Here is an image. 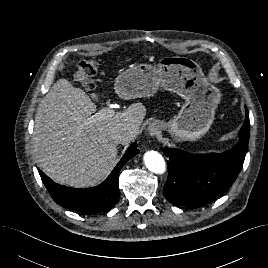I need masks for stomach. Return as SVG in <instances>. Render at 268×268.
<instances>
[{"mask_svg": "<svg viewBox=\"0 0 268 268\" xmlns=\"http://www.w3.org/2000/svg\"><path fill=\"white\" fill-rule=\"evenodd\" d=\"M158 87L185 100L179 113L168 123L161 122L175 141H193L210 129L220 101V91L210 84L199 63L188 57H165L157 67L141 63L120 73L115 91L124 99L150 97Z\"/></svg>", "mask_w": 268, "mask_h": 268, "instance_id": "0dacf381", "label": "stomach"}]
</instances>
